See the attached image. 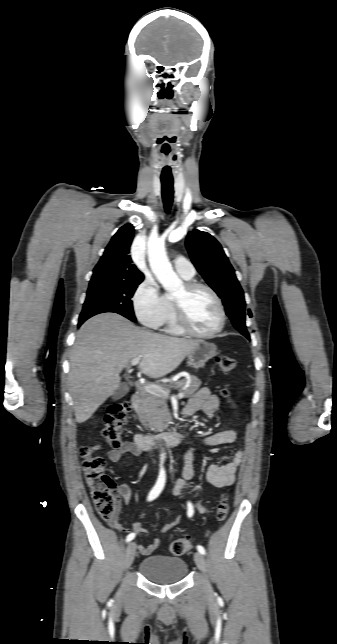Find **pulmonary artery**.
<instances>
[{"instance_id":"e3ab8cb5","label":"pulmonary artery","mask_w":337,"mask_h":644,"mask_svg":"<svg viewBox=\"0 0 337 644\" xmlns=\"http://www.w3.org/2000/svg\"><path fill=\"white\" fill-rule=\"evenodd\" d=\"M174 267L177 273L183 277L192 278L195 275L193 264L183 257H179L174 261Z\"/></svg>"}]
</instances>
